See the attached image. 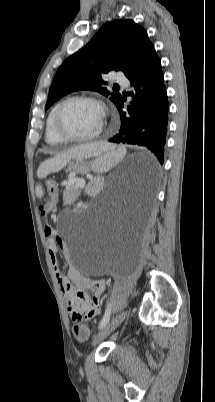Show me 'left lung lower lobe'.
Listing matches in <instances>:
<instances>
[{
    "instance_id": "0a47b994",
    "label": "left lung lower lobe",
    "mask_w": 215,
    "mask_h": 402,
    "mask_svg": "<svg viewBox=\"0 0 215 402\" xmlns=\"http://www.w3.org/2000/svg\"><path fill=\"white\" fill-rule=\"evenodd\" d=\"M128 79L136 95L130 93L134 97L127 106L128 112L122 111L123 98L116 105L121 128L109 141L145 146L163 164L169 106L159 57ZM157 166V162L152 163V168L144 171L143 177L152 180L156 176Z\"/></svg>"
}]
</instances>
